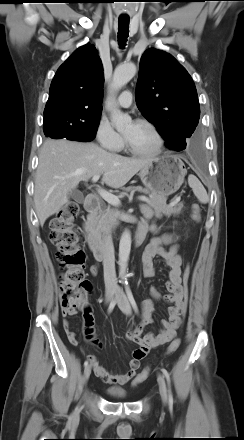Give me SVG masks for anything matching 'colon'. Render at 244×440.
Wrapping results in <instances>:
<instances>
[{"instance_id":"1","label":"colon","mask_w":244,"mask_h":440,"mask_svg":"<svg viewBox=\"0 0 244 440\" xmlns=\"http://www.w3.org/2000/svg\"><path fill=\"white\" fill-rule=\"evenodd\" d=\"M79 213V206L75 202L65 204L51 219L49 227L50 241L57 247L56 257L60 263L62 273L59 285V300L63 316H72L77 310L89 308L88 295L92 291L91 283L85 279L84 268L86 256L79 246L80 236L74 226ZM192 218L200 220V208L197 204L192 206ZM191 267L186 263L182 273L184 300L181 306L182 314L187 310L189 300V281ZM180 346V339H174L168 346L166 353L175 352ZM147 346L142 345L134 350L138 358H144L148 353ZM150 367H145L133 380L137 386L144 382L149 374Z\"/></svg>"}]
</instances>
